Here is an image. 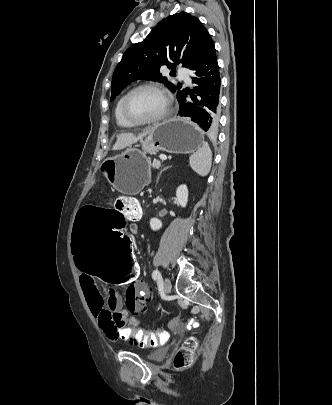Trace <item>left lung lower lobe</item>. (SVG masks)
Here are the masks:
<instances>
[{
	"mask_svg": "<svg viewBox=\"0 0 332 405\" xmlns=\"http://www.w3.org/2000/svg\"><path fill=\"white\" fill-rule=\"evenodd\" d=\"M192 70L193 90L185 89L178 96L180 116L190 117L204 131L215 133L219 124L221 79L214 44ZM187 95L191 98L187 100Z\"/></svg>",
	"mask_w": 332,
	"mask_h": 405,
	"instance_id": "left-lung-lower-lobe-1",
	"label": "left lung lower lobe"
}]
</instances>
